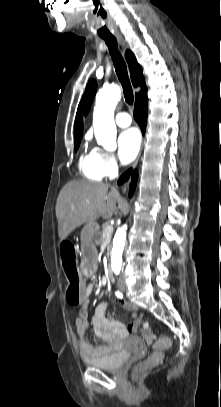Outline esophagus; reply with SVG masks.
Here are the masks:
<instances>
[{
	"mask_svg": "<svg viewBox=\"0 0 221 407\" xmlns=\"http://www.w3.org/2000/svg\"><path fill=\"white\" fill-rule=\"evenodd\" d=\"M116 38H117L118 42L120 43V45L124 47L125 43H124L123 38L120 35H117Z\"/></svg>",
	"mask_w": 221,
	"mask_h": 407,
	"instance_id": "esophagus-1",
	"label": "esophagus"
}]
</instances>
